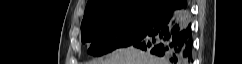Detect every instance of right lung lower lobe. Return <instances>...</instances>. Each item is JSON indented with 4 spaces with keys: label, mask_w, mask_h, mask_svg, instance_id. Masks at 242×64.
I'll return each mask as SVG.
<instances>
[{
    "label": "right lung lower lobe",
    "mask_w": 242,
    "mask_h": 64,
    "mask_svg": "<svg viewBox=\"0 0 242 64\" xmlns=\"http://www.w3.org/2000/svg\"><path fill=\"white\" fill-rule=\"evenodd\" d=\"M186 0H171L160 12L158 21L132 46L163 57L171 64H190L192 59V30Z\"/></svg>",
    "instance_id": "98d812e1"
}]
</instances>
